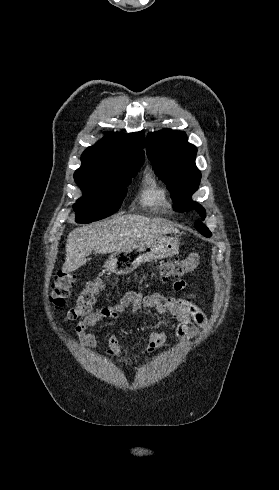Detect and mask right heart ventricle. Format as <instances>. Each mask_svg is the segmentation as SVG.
Listing matches in <instances>:
<instances>
[{
	"label": "right heart ventricle",
	"mask_w": 279,
	"mask_h": 490,
	"mask_svg": "<svg viewBox=\"0 0 279 490\" xmlns=\"http://www.w3.org/2000/svg\"><path fill=\"white\" fill-rule=\"evenodd\" d=\"M141 202L153 209H165L169 207L167 190L152 173H149L145 178L144 188L141 193Z\"/></svg>",
	"instance_id": "right-heart-ventricle-1"
}]
</instances>
